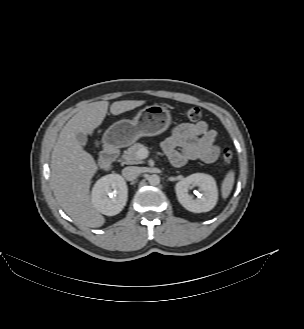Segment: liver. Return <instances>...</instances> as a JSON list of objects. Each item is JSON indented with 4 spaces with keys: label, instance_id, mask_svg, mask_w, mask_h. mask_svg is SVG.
Instances as JSON below:
<instances>
[{
    "label": "liver",
    "instance_id": "6515ba94",
    "mask_svg": "<svg viewBox=\"0 0 304 329\" xmlns=\"http://www.w3.org/2000/svg\"><path fill=\"white\" fill-rule=\"evenodd\" d=\"M144 100H123L112 103L110 112L119 115L143 104ZM109 103L87 104L63 127L51 156V185L62 209L76 222L91 228L101 227L105 218L93 206L89 188L98 170L91 154L76 139L79 132L92 134L102 124ZM109 167L106 166L105 170Z\"/></svg>",
    "mask_w": 304,
    "mask_h": 329
}]
</instances>
